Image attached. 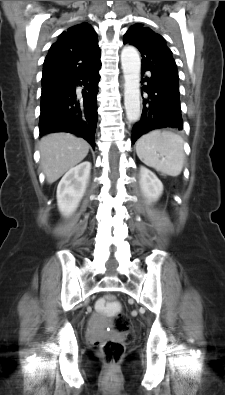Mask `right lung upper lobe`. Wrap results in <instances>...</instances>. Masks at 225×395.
Masks as SVG:
<instances>
[{"label": "right lung upper lobe", "mask_w": 225, "mask_h": 395, "mask_svg": "<svg viewBox=\"0 0 225 395\" xmlns=\"http://www.w3.org/2000/svg\"><path fill=\"white\" fill-rule=\"evenodd\" d=\"M100 60L97 34L88 23L62 32L43 64L42 86L61 76L86 70Z\"/></svg>", "instance_id": "cb5924a9"}]
</instances>
